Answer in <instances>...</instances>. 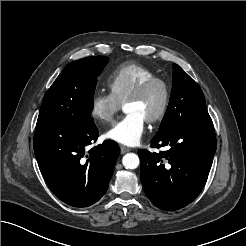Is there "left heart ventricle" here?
Masks as SVG:
<instances>
[{
  "instance_id": "b2bd125f",
  "label": "left heart ventricle",
  "mask_w": 246,
  "mask_h": 246,
  "mask_svg": "<svg viewBox=\"0 0 246 246\" xmlns=\"http://www.w3.org/2000/svg\"><path fill=\"white\" fill-rule=\"evenodd\" d=\"M162 100L163 90L161 86L155 85L142 99L126 103L124 110L127 113H138L146 120L159 110Z\"/></svg>"
}]
</instances>
